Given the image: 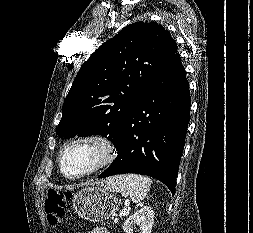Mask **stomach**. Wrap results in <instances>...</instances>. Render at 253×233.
I'll return each mask as SVG.
<instances>
[{
    "instance_id": "obj_1",
    "label": "stomach",
    "mask_w": 253,
    "mask_h": 233,
    "mask_svg": "<svg viewBox=\"0 0 253 233\" xmlns=\"http://www.w3.org/2000/svg\"><path fill=\"white\" fill-rule=\"evenodd\" d=\"M119 204L113 194L99 185L85 187L73 198L78 215L91 222L109 219L118 210Z\"/></svg>"
}]
</instances>
